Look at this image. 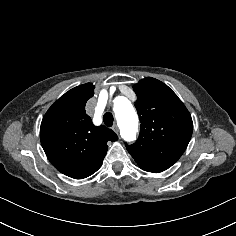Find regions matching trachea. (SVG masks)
<instances>
[{"label":"trachea","mask_w":236,"mask_h":236,"mask_svg":"<svg viewBox=\"0 0 236 236\" xmlns=\"http://www.w3.org/2000/svg\"><path fill=\"white\" fill-rule=\"evenodd\" d=\"M103 121L107 127H111L114 122L113 115L110 112H106L103 116Z\"/></svg>","instance_id":"obj_1"}]
</instances>
